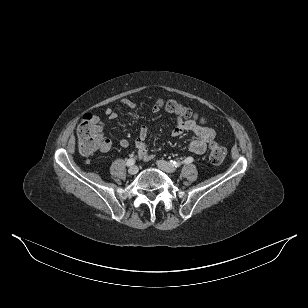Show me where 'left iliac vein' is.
<instances>
[{
	"mask_svg": "<svg viewBox=\"0 0 308 308\" xmlns=\"http://www.w3.org/2000/svg\"><path fill=\"white\" fill-rule=\"evenodd\" d=\"M156 164H157V166H158L160 169H162V170L165 171V172L173 173V172L176 171V168H175L172 164H170V163H168V162H166V161L158 160V161L156 162Z\"/></svg>",
	"mask_w": 308,
	"mask_h": 308,
	"instance_id": "left-iliac-vein-1",
	"label": "left iliac vein"
}]
</instances>
